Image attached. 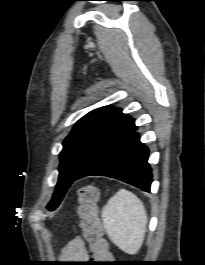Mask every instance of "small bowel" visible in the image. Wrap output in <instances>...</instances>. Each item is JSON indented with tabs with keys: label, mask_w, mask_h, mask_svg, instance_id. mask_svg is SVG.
<instances>
[{
	"label": "small bowel",
	"mask_w": 205,
	"mask_h": 265,
	"mask_svg": "<svg viewBox=\"0 0 205 265\" xmlns=\"http://www.w3.org/2000/svg\"><path fill=\"white\" fill-rule=\"evenodd\" d=\"M61 259L74 261L73 263H84L89 259V254L82 240L75 238L63 249Z\"/></svg>",
	"instance_id": "small-bowel-1"
}]
</instances>
